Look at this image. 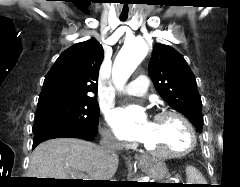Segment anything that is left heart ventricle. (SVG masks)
I'll list each match as a JSON object with an SVG mask.
<instances>
[{
	"label": "left heart ventricle",
	"instance_id": "left-heart-ventricle-1",
	"mask_svg": "<svg viewBox=\"0 0 240 187\" xmlns=\"http://www.w3.org/2000/svg\"><path fill=\"white\" fill-rule=\"evenodd\" d=\"M146 145L154 151L180 150L187 145V134L175 117H164L153 122Z\"/></svg>",
	"mask_w": 240,
	"mask_h": 187
}]
</instances>
